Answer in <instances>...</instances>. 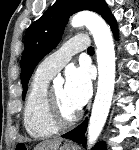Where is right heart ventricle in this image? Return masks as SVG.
<instances>
[{
	"label": "right heart ventricle",
	"instance_id": "obj_1",
	"mask_svg": "<svg viewBox=\"0 0 139 150\" xmlns=\"http://www.w3.org/2000/svg\"><path fill=\"white\" fill-rule=\"evenodd\" d=\"M50 77L35 74L30 85L23 110V123L33 138H46L57 132L45 113V96Z\"/></svg>",
	"mask_w": 139,
	"mask_h": 150
}]
</instances>
